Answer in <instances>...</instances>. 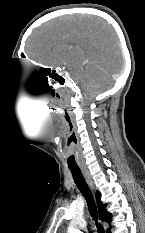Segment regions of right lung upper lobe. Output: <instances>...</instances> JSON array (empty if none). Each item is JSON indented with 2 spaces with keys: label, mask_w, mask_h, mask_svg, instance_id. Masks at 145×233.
Returning <instances> with one entry per match:
<instances>
[{
  "label": "right lung upper lobe",
  "mask_w": 145,
  "mask_h": 233,
  "mask_svg": "<svg viewBox=\"0 0 145 233\" xmlns=\"http://www.w3.org/2000/svg\"><path fill=\"white\" fill-rule=\"evenodd\" d=\"M96 200H97V205H98V211H99V217L102 221H106L109 224L111 223V214L107 212V210H104L106 205H104L101 201H100V193L97 192L96 193Z\"/></svg>",
  "instance_id": "1"
}]
</instances>
